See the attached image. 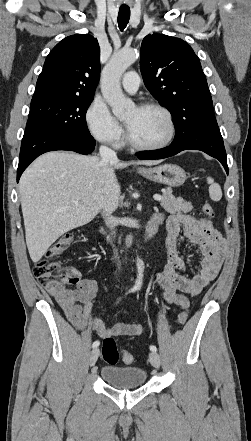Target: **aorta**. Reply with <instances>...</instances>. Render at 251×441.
Instances as JSON below:
<instances>
[{
    "instance_id": "aorta-1",
    "label": "aorta",
    "mask_w": 251,
    "mask_h": 441,
    "mask_svg": "<svg viewBox=\"0 0 251 441\" xmlns=\"http://www.w3.org/2000/svg\"><path fill=\"white\" fill-rule=\"evenodd\" d=\"M138 56L139 54L136 50L123 49L114 53L103 69L101 91L116 117L121 118L134 108V103L124 96L120 80L123 73L137 60ZM136 265L138 275L135 288L139 289L142 285L143 277V262L140 258H137Z\"/></svg>"
}]
</instances>
